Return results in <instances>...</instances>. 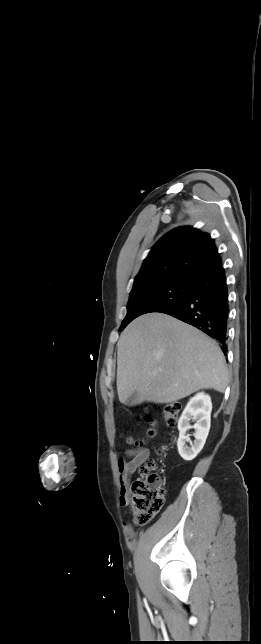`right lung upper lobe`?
Masks as SVG:
<instances>
[{
	"instance_id": "1",
	"label": "right lung upper lobe",
	"mask_w": 261,
	"mask_h": 644,
	"mask_svg": "<svg viewBox=\"0 0 261 644\" xmlns=\"http://www.w3.org/2000/svg\"><path fill=\"white\" fill-rule=\"evenodd\" d=\"M221 266L214 240L192 227H179L163 236L152 248L133 287L167 278H196Z\"/></svg>"
}]
</instances>
